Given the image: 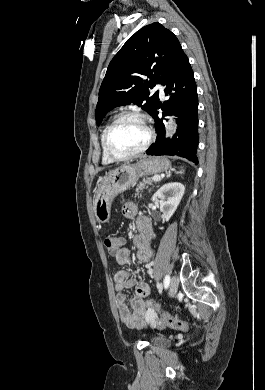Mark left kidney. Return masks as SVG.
<instances>
[{
	"label": "left kidney",
	"instance_id": "obj_1",
	"mask_svg": "<svg viewBox=\"0 0 265 390\" xmlns=\"http://www.w3.org/2000/svg\"><path fill=\"white\" fill-rule=\"evenodd\" d=\"M185 192V187L179 182H171L164 184L153 196L152 201L156 202L160 199L159 209L163 213V217L168 221L174 212L176 211L183 195ZM168 194L169 197L165 199V195Z\"/></svg>",
	"mask_w": 265,
	"mask_h": 390
}]
</instances>
